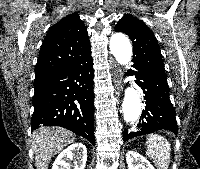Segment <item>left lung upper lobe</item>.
Returning <instances> with one entry per match:
<instances>
[{
  "instance_id": "obj_1",
  "label": "left lung upper lobe",
  "mask_w": 200,
  "mask_h": 169,
  "mask_svg": "<svg viewBox=\"0 0 200 169\" xmlns=\"http://www.w3.org/2000/svg\"><path fill=\"white\" fill-rule=\"evenodd\" d=\"M115 31L124 32L132 40L134 65L151 68L166 77L157 40L144 22L126 14L118 21Z\"/></svg>"
}]
</instances>
